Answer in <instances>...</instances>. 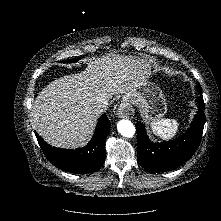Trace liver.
<instances>
[{"label":"liver","mask_w":221,"mask_h":221,"mask_svg":"<svg viewBox=\"0 0 221 221\" xmlns=\"http://www.w3.org/2000/svg\"><path fill=\"white\" fill-rule=\"evenodd\" d=\"M145 61L132 56L109 54L90 60L84 71L49 83L36 97L31 117L38 134L52 146L77 148L90 139L107 101L127 94L144 81Z\"/></svg>","instance_id":"obj_1"}]
</instances>
